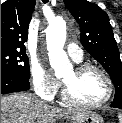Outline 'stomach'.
Segmentation results:
<instances>
[{
    "label": "stomach",
    "mask_w": 122,
    "mask_h": 123,
    "mask_svg": "<svg viewBox=\"0 0 122 123\" xmlns=\"http://www.w3.org/2000/svg\"><path fill=\"white\" fill-rule=\"evenodd\" d=\"M74 123H104L103 122V118L93 112V111H86L84 116L79 119V120H76Z\"/></svg>",
    "instance_id": "stomach-1"
}]
</instances>
